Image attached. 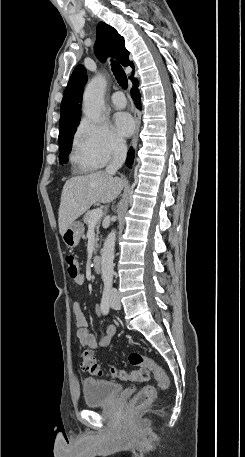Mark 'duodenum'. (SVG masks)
<instances>
[{
    "label": "duodenum",
    "mask_w": 245,
    "mask_h": 457,
    "mask_svg": "<svg viewBox=\"0 0 245 457\" xmlns=\"http://www.w3.org/2000/svg\"><path fill=\"white\" fill-rule=\"evenodd\" d=\"M101 256L95 255L92 260V267L93 269L98 272L101 269Z\"/></svg>",
    "instance_id": "410a0bca"
}]
</instances>
